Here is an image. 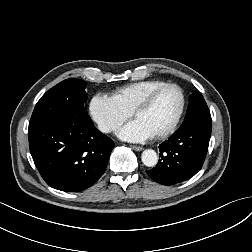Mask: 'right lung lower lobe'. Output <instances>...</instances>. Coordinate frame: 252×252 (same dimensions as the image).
<instances>
[{"mask_svg": "<svg viewBox=\"0 0 252 252\" xmlns=\"http://www.w3.org/2000/svg\"><path fill=\"white\" fill-rule=\"evenodd\" d=\"M34 163L45 182L61 191L78 192L104 173L114 142L91 119L60 116L28 128Z\"/></svg>", "mask_w": 252, "mask_h": 252, "instance_id": "1", "label": "right lung lower lobe"}]
</instances>
